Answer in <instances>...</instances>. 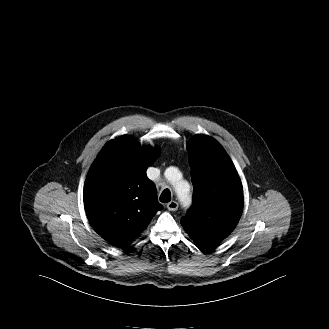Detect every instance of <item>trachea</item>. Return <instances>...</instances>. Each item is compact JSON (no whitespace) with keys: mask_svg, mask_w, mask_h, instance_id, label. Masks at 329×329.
<instances>
[{"mask_svg":"<svg viewBox=\"0 0 329 329\" xmlns=\"http://www.w3.org/2000/svg\"><path fill=\"white\" fill-rule=\"evenodd\" d=\"M160 201L162 203H168L171 201V192L169 189H165L160 195Z\"/></svg>","mask_w":329,"mask_h":329,"instance_id":"1","label":"trachea"}]
</instances>
